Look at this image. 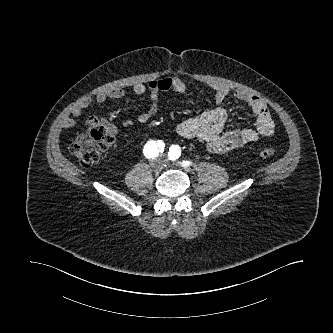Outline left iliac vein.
<instances>
[{
    "label": "left iliac vein",
    "mask_w": 333,
    "mask_h": 333,
    "mask_svg": "<svg viewBox=\"0 0 333 333\" xmlns=\"http://www.w3.org/2000/svg\"><path fill=\"white\" fill-rule=\"evenodd\" d=\"M162 157L164 158L165 155L163 154ZM164 162V166H168L169 164L166 162V160L163 161Z\"/></svg>",
    "instance_id": "1"
}]
</instances>
